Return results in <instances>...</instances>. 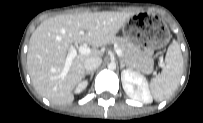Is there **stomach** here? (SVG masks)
I'll list each match as a JSON object with an SVG mask.
<instances>
[{
	"mask_svg": "<svg viewBox=\"0 0 203 123\" xmlns=\"http://www.w3.org/2000/svg\"><path fill=\"white\" fill-rule=\"evenodd\" d=\"M123 33L127 40L144 47L148 55L155 49L164 47L171 37L167 26L153 15H144L140 22L134 20L123 27Z\"/></svg>",
	"mask_w": 203,
	"mask_h": 123,
	"instance_id": "0dacf381",
	"label": "stomach"
}]
</instances>
